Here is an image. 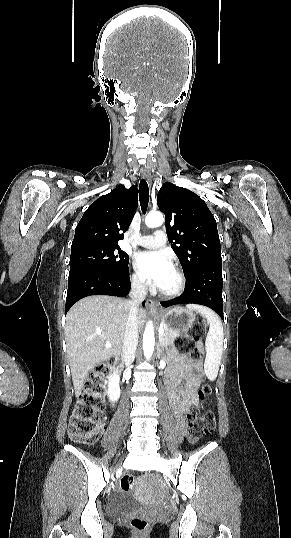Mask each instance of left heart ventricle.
Masks as SVG:
<instances>
[{"label":"left heart ventricle","instance_id":"obj_1","mask_svg":"<svg viewBox=\"0 0 291 538\" xmlns=\"http://www.w3.org/2000/svg\"><path fill=\"white\" fill-rule=\"evenodd\" d=\"M177 285V276L174 271H172L165 279L164 283L160 288L169 290L174 288Z\"/></svg>","mask_w":291,"mask_h":538}]
</instances>
